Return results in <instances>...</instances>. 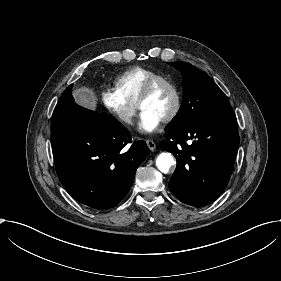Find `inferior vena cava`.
Returning <instances> with one entry per match:
<instances>
[{
	"instance_id": "inferior-vena-cava-1",
	"label": "inferior vena cava",
	"mask_w": 281,
	"mask_h": 281,
	"mask_svg": "<svg viewBox=\"0 0 281 281\" xmlns=\"http://www.w3.org/2000/svg\"><path fill=\"white\" fill-rule=\"evenodd\" d=\"M125 121H126V122H129V121H131V120H130L129 118H126Z\"/></svg>"
}]
</instances>
